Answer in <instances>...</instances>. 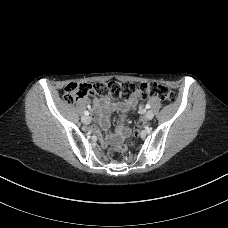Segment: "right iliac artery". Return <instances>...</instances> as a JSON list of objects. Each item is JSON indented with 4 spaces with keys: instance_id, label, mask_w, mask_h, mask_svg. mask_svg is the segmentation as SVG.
<instances>
[{
    "instance_id": "right-iliac-artery-1",
    "label": "right iliac artery",
    "mask_w": 228,
    "mask_h": 228,
    "mask_svg": "<svg viewBox=\"0 0 228 228\" xmlns=\"http://www.w3.org/2000/svg\"><path fill=\"white\" fill-rule=\"evenodd\" d=\"M84 114H85L86 116H88V115H89V112L86 110V111H84Z\"/></svg>"
}]
</instances>
